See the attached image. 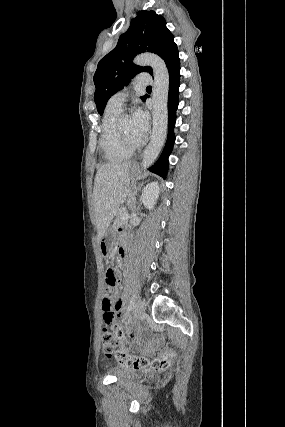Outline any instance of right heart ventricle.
<instances>
[{
  "label": "right heart ventricle",
  "instance_id": "e07e8e85",
  "mask_svg": "<svg viewBox=\"0 0 285 427\" xmlns=\"http://www.w3.org/2000/svg\"><path fill=\"white\" fill-rule=\"evenodd\" d=\"M121 110L122 108L108 103L102 119L100 145L105 158L111 162L128 160L133 152L123 146L116 132V121Z\"/></svg>",
  "mask_w": 285,
  "mask_h": 427
}]
</instances>
